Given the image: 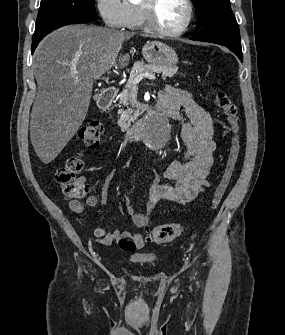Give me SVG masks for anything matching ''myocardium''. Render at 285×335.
I'll return each mask as SVG.
<instances>
[{
	"label": "myocardium",
	"mask_w": 285,
	"mask_h": 335,
	"mask_svg": "<svg viewBox=\"0 0 285 335\" xmlns=\"http://www.w3.org/2000/svg\"><path fill=\"white\" fill-rule=\"evenodd\" d=\"M187 10V18L183 25L175 30H167L158 25L155 20L157 1H142L143 25L151 33L164 37H177L185 33L191 25L193 19V8L189 1H179Z\"/></svg>",
	"instance_id": "1"
}]
</instances>
